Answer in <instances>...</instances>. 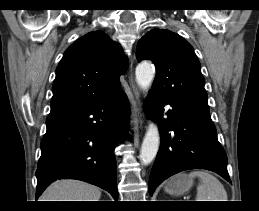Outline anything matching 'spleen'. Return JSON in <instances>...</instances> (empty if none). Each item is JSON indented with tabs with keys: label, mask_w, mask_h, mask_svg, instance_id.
<instances>
[{
	"label": "spleen",
	"mask_w": 259,
	"mask_h": 211,
	"mask_svg": "<svg viewBox=\"0 0 259 211\" xmlns=\"http://www.w3.org/2000/svg\"><path fill=\"white\" fill-rule=\"evenodd\" d=\"M189 177H198L200 179L196 201H228L223 184L209 172L195 170L189 173Z\"/></svg>",
	"instance_id": "3e777b00"
}]
</instances>
